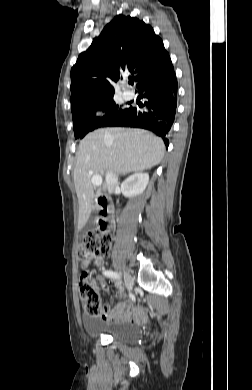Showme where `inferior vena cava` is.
Instances as JSON below:
<instances>
[{"mask_svg":"<svg viewBox=\"0 0 252 390\" xmlns=\"http://www.w3.org/2000/svg\"><path fill=\"white\" fill-rule=\"evenodd\" d=\"M118 186V175L115 172L108 171L106 174V187L109 194H112Z\"/></svg>","mask_w":252,"mask_h":390,"instance_id":"obj_1","label":"inferior vena cava"}]
</instances>
